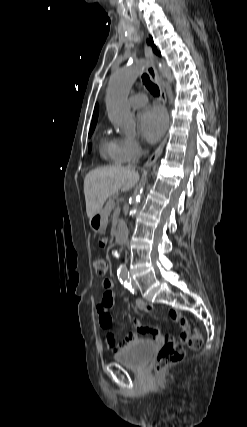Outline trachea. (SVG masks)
Returning <instances> with one entry per match:
<instances>
[{
    "label": "trachea",
    "instance_id": "1",
    "mask_svg": "<svg viewBox=\"0 0 247 427\" xmlns=\"http://www.w3.org/2000/svg\"><path fill=\"white\" fill-rule=\"evenodd\" d=\"M142 80L144 85L147 87V89L154 95V96H158L159 95V88L153 84L150 79L149 76L147 74H143L142 75Z\"/></svg>",
    "mask_w": 247,
    "mask_h": 427
}]
</instances>
